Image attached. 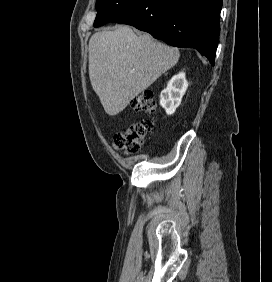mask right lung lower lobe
<instances>
[{"label": "right lung lower lobe", "mask_w": 272, "mask_h": 282, "mask_svg": "<svg viewBox=\"0 0 272 282\" xmlns=\"http://www.w3.org/2000/svg\"><path fill=\"white\" fill-rule=\"evenodd\" d=\"M222 0H136L109 22L150 33L175 47H192L214 65Z\"/></svg>", "instance_id": "1"}]
</instances>
